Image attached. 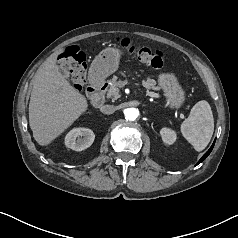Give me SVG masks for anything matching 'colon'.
<instances>
[{
  "mask_svg": "<svg viewBox=\"0 0 238 238\" xmlns=\"http://www.w3.org/2000/svg\"><path fill=\"white\" fill-rule=\"evenodd\" d=\"M116 42L139 61L157 70L166 69L164 55L160 50L148 46L136 48L128 38H117ZM58 62L69 70L74 86L82 89L85 85L87 69L85 54L79 48L70 46L59 54Z\"/></svg>",
  "mask_w": 238,
  "mask_h": 238,
  "instance_id": "colon-1",
  "label": "colon"
}]
</instances>
